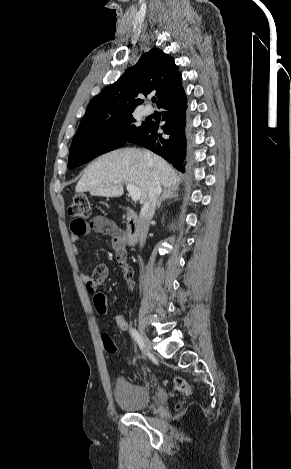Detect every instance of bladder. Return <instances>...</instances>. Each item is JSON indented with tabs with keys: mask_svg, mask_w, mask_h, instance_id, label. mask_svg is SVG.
<instances>
[{
	"mask_svg": "<svg viewBox=\"0 0 291 469\" xmlns=\"http://www.w3.org/2000/svg\"><path fill=\"white\" fill-rule=\"evenodd\" d=\"M116 404L123 410L138 412L145 410L152 399L148 387L118 378L114 390Z\"/></svg>",
	"mask_w": 291,
	"mask_h": 469,
	"instance_id": "bladder-1",
	"label": "bladder"
}]
</instances>
